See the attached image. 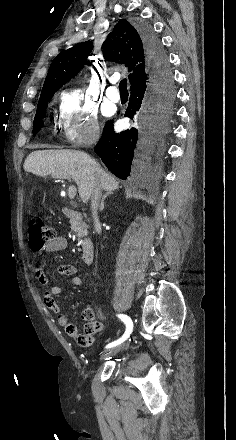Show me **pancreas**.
Instances as JSON below:
<instances>
[{"instance_id":"cf45deb5","label":"pancreas","mask_w":236,"mask_h":440,"mask_svg":"<svg viewBox=\"0 0 236 440\" xmlns=\"http://www.w3.org/2000/svg\"><path fill=\"white\" fill-rule=\"evenodd\" d=\"M72 229H73V231L76 232L77 235L80 237V233H81V231H82V226L79 225V224H77V225H74V226L72 227Z\"/></svg>"}]
</instances>
